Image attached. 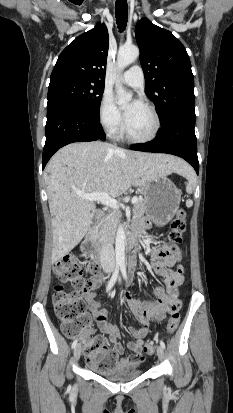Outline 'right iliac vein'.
Masks as SVG:
<instances>
[{"label": "right iliac vein", "instance_id": "63e3f726", "mask_svg": "<svg viewBox=\"0 0 233 413\" xmlns=\"http://www.w3.org/2000/svg\"><path fill=\"white\" fill-rule=\"evenodd\" d=\"M80 355H81V345L78 344V345L75 347V350H74V357H75V360H76V361L79 360Z\"/></svg>", "mask_w": 233, "mask_h": 413}]
</instances>
